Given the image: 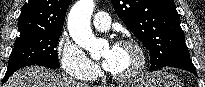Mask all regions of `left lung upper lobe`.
<instances>
[{
    "label": "left lung upper lobe",
    "mask_w": 205,
    "mask_h": 87,
    "mask_svg": "<svg viewBox=\"0 0 205 87\" xmlns=\"http://www.w3.org/2000/svg\"><path fill=\"white\" fill-rule=\"evenodd\" d=\"M119 18L149 49V70L190 58L173 0H111Z\"/></svg>",
    "instance_id": "left-lung-upper-lobe-1"
}]
</instances>
